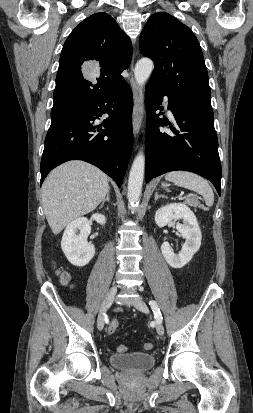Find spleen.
<instances>
[{"label": "spleen", "instance_id": "1", "mask_svg": "<svg viewBox=\"0 0 253 413\" xmlns=\"http://www.w3.org/2000/svg\"><path fill=\"white\" fill-rule=\"evenodd\" d=\"M165 179L197 192L203 196L206 206L214 203V193L209 183L201 176L187 171H173L166 174Z\"/></svg>", "mask_w": 253, "mask_h": 413}]
</instances>
